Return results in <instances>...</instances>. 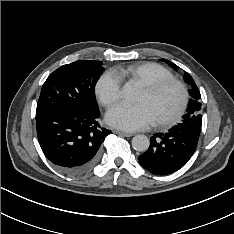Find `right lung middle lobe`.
I'll list each match as a JSON object with an SVG mask.
<instances>
[{
  "mask_svg": "<svg viewBox=\"0 0 234 234\" xmlns=\"http://www.w3.org/2000/svg\"><path fill=\"white\" fill-rule=\"evenodd\" d=\"M101 65V61L79 60L59 67L43 84L36 113L58 107L97 112L94 88Z\"/></svg>",
  "mask_w": 234,
  "mask_h": 234,
  "instance_id": "1",
  "label": "right lung middle lobe"
}]
</instances>
